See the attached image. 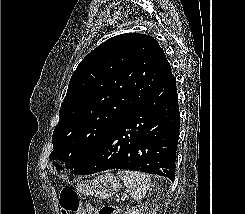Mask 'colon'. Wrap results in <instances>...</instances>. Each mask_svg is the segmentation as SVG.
<instances>
[{
	"instance_id": "5ec220e1",
	"label": "colon",
	"mask_w": 245,
	"mask_h": 214,
	"mask_svg": "<svg viewBox=\"0 0 245 214\" xmlns=\"http://www.w3.org/2000/svg\"><path fill=\"white\" fill-rule=\"evenodd\" d=\"M60 206L63 214H120L119 210L112 205H104L97 212L81 205L78 194L72 188H63L60 194Z\"/></svg>"
}]
</instances>
